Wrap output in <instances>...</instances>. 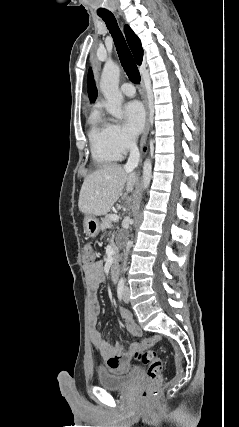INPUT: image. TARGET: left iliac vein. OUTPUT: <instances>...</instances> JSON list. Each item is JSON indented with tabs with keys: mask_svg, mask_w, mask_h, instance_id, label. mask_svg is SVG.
<instances>
[{
	"mask_svg": "<svg viewBox=\"0 0 239 427\" xmlns=\"http://www.w3.org/2000/svg\"><path fill=\"white\" fill-rule=\"evenodd\" d=\"M123 300L125 303L129 302V289H128V287H125V289H124Z\"/></svg>",
	"mask_w": 239,
	"mask_h": 427,
	"instance_id": "1",
	"label": "left iliac vein"
}]
</instances>
